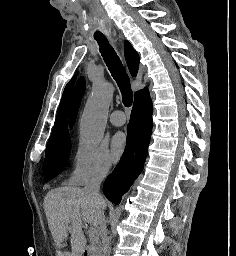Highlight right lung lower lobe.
I'll return each instance as SVG.
<instances>
[{"instance_id":"right-lung-lower-lobe-1","label":"right lung lower lobe","mask_w":236,"mask_h":256,"mask_svg":"<svg viewBox=\"0 0 236 256\" xmlns=\"http://www.w3.org/2000/svg\"><path fill=\"white\" fill-rule=\"evenodd\" d=\"M152 112L149 92L144 89L134 98L124 153L103 185L105 196L115 204L120 203L143 169L152 134Z\"/></svg>"}]
</instances>
